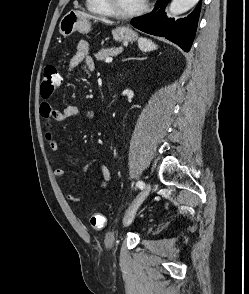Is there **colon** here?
Here are the masks:
<instances>
[{
	"label": "colon",
	"mask_w": 249,
	"mask_h": 294,
	"mask_svg": "<svg viewBox=\"0 0 249 294\" xmlns=\"http://www.w3.org/2000/svg\"><path fill=\"white\" fill-rule=\"evenodd\" d=\"M61 84V76L57 66L48 65L45 68L43 80L41 83V97L47 99L57 90ZM90 225L93 229L101 230L106 225V219L99 213L92 214L90 217Z\"/></svg>",
	"instance_id": "1"
}]
</instances>
